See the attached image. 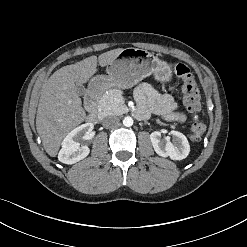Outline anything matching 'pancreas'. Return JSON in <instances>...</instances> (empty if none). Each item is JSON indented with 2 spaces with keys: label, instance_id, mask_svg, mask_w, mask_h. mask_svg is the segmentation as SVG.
<instances>
[{
  "label": "pancreas",
  "instance_id": "pancreas-1",
  "mask_svg": "<svg viewBox=\"0 0 247 247\" xmlns=\"http://www.w3.org/2000/svg\"><path fill=\"white\" fill-rule=\"evenodd\" d=\"M121 96L122 92L118 89L108 90L100 99L98 109L104 115L122 114L126 110V107L123 103L116 101V98H120ZM171 127L174 128V125Z\"/></svg>",
  "mask_w": 247,
  "mask_h": 247
}]
</instances>
